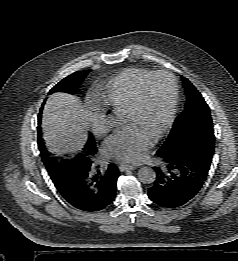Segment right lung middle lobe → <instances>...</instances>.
<instances>
[{
  "label": "right lung middle lobe",
  "instance_id": "right-lung-middle-lobe-1",
  "mask_svg": "<svg viewBox=\"0 0 238 261\" xmlns=\"http://www.w3.org/2000/svg\"><path fill=\"white\" fill-rule=\"evenodd\" d=\"M88 73L89 70L79 71L67 76L58 84H56L50 90V93L57 91L74 93ZM38 147L48 174L54 182L65 179V177L68 176V172L72 170V165L79 162L87 161L85 157L93 158L94 154L97 151L95 143L93 141V137L90 135L81 153H79L72 159L60 160L57 157L50 156V154L45 150L40 131L38 133Z\"/></svg>",
  "mask_w": 238,
  "mask_h": 261
}]
</instances>
